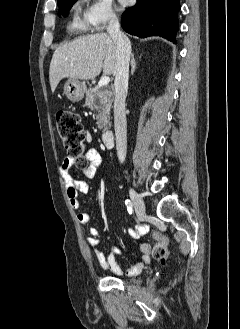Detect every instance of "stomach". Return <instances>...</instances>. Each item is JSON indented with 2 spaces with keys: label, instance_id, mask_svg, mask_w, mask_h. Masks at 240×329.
Wrapping results in <instances>:
<instances>
[{
  "label": "stomach",
  "instance_id": "0dacf381",
  "mask_svg": "<svg viewBox=\"0 0 240 329\" xmlns=\"http://www.w3.org/2000/svg\"><path fill=\"white\" fill-rule=\"evenodd\" d=\"M86 91V84L78 79L68 78L64 84V94L72 102L81 101Z\"/></svg>",
  "mask_w": 240,
  "mask_h": 329
}]
</instances>
